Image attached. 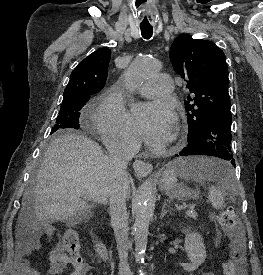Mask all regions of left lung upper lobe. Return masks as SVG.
I'll list each match as a JSON object with an SVG mask.
<instances>
[{"instance_id":"left-lung-upper-lobe-1","label":"left lung upper lobe","mask_w":263,"mask_h":275,"mask_svg":"<svg viewBox=\"0 0 263 275\" xmlns=\"http://www.w3.org/2000/svg\"><path fill=\"white\" fill-rule=\"evenodd\" d=\"M175 72L194 96L184 101L188 136L198 134L214 116L230 113L228 67L224 52L213 42L178 36L170 49Z\"/></svg>"}]
</instances>
